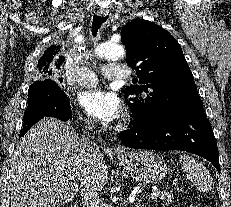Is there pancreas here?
I'll list each match as a JSON object with an SVG mask.
<instances>
[{"label":"pancreas","instance_id":"pancreas-1","mask_svg":"<svg viewBox=\"0 0 231 207\" xmlns=\"http://www.w3.org/2000/svg\"><path fill=\"white\" fill-rule=\"evenodd\" d=\"M159 195H160V199L166 200L167 202L174 201V196L172 192L162 191L159 193Z\"/></svg>","mask_w":231,"mask_h":207}]
</instances>
